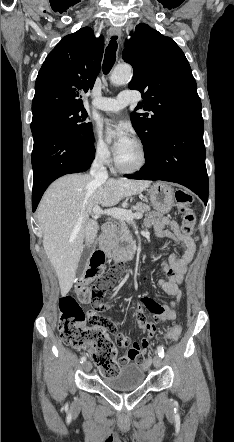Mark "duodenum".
<instances>
[{
  "label": "duodenum",
  "mask_w": 234,
  "mask_h": 442,
  "mask_svg": "<svg viewBox=\"0 0 234 442\" xmlns=\"http://www.w3.org/2000/svg\"><path fill=\"white\" fill-rule=\"evenodd\" d=\"M113 230L111 224H104L102 227L101 237V253H105L114 263H127L134 259L138 254V249L135 245H130L124 248H116L110 242V236Z\"/></svg>",
  "instance_id": "duodenum-1"
}]
</instances>
